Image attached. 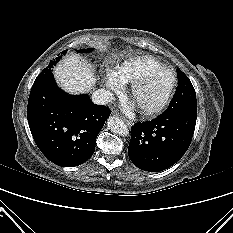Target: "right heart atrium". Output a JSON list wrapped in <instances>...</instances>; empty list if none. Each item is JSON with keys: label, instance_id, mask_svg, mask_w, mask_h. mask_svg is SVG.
<instances>
[{"label": "right heart atrium", "instance_id": "right-heart-atrium-1", "mask_svg": "<svg viewBox=\"0 0 233 233\" xmlns=\"http://www.w3.org/2000/svg\"><path fill=\"white\" fill-rule=\"evenodd\" d=\"M104 81L105 85L114 92H120L124 85L114 70H108L106 72Z\"/></svg>", "mask_w": 233, "mask_h": 233}]
</instances>
